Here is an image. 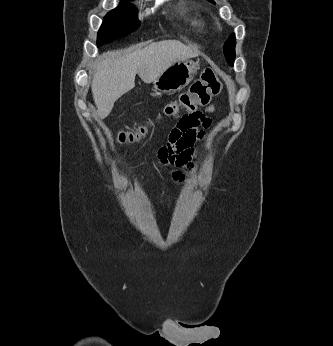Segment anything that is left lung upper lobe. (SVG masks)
Instances as JSON below:
<instances>
[{
    "label": "left lung upper lobe",
    "mask_w": 333,
    "mask_h": 346,
    "mask_svg": "<svg viewBox=\"0 0 333 346\" xmlns=\"http://www.w3.org/2000/svg\"><path fill=\"white\" fill-rule=\"evenodd\" d=\"M214 3L213 0H209ZM235 45H236V38L235 35L232 34L229 39L225 42L223 51L225 54V58L227 62L233 66L234 60H235Z\"/></svg>",
    "instance_id": "obj_1"
}]
</instances>
